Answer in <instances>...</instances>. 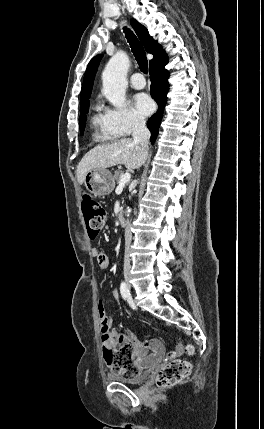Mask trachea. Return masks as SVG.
Here are the masks:
<instances>
[{
  "instance_id": "3493384b",
  "label": "trachea",
  "mask_w": 264,
  "mask_h": 429,
  "mask_svg": "<svg viewBox=\"0 0 264 429\" xmlns=\"http://www.w3.org/2000/svg\"><path fill=\"white\" fill-rule=\"evenodd\" d=\"M124 32L140 70L147 74L148 61L142 44L130 29L125 28Z\"/></svg>"
}]
</instances>
